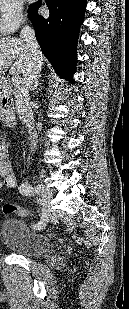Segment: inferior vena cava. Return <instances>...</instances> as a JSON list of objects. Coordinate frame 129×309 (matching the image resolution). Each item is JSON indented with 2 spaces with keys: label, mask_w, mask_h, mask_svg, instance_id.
<instances>
[{
  "label": "inferior vena cava",
  "mask_w": 129,
  "mask_h": 309,
  "mask_svg": "<svg viewBox=\"0 0 129 309\" xmlns=\"http://www.w3.org/2000/svg\"><path fill=\"white\" fill-rule=\"evenodd\" d=\"M20 39L24 43L30 63L26 72L23 74V78L20 86L18 87L16 98V109L19 114V118L29 128L31 146L34 148L37 144V136L33 130V113L30 104L29 92L32 85L37 81L42 68L41 64V51L39 44L35 37V32L29 25H24L20 32Z\"/></svg>",
  "instance_id": "inferior-vena-cava-1"
}]
</instances>
